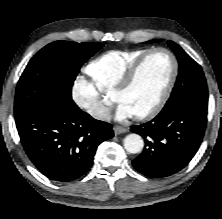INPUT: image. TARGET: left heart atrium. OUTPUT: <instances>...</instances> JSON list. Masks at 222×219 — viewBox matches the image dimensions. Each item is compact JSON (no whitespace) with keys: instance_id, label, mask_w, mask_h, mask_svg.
<instances>
[{"instance_id":"39dd6f15","label":"left heart atrium","mask_w":222,"mask_h":219,"mask_svg":"<svg viewBox=\"0 0 222 219\" xmlns=\"http://www.w3.org/2000/svg\"><path fill=\"white\" fill-rule=\"evenodd\" d=\"M135 116L134 112L125 103H120L116 110L115 118L118 121H125Z\"/></svg>"}]
</instances>
